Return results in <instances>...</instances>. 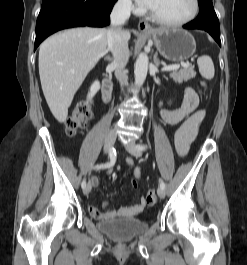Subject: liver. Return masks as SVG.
<instances>
[{"instance_id": "obj_1", "label": "liver", "mask_w": 247, "mask_h": 265, "mask_svg": "<svg viewBox=\"0 0 247 265\" xmlns=\"http://www.w3.org/2000/svg\"><path fill=\"white\" fill-rule=\"evenodd\" d=\"M107 34L102 28H73L52 35L40 45L41 86L58 122L66 121L75 93L105 55ZM126 36L129 40L130 33Z\"/></svg>"}]
</instances>
